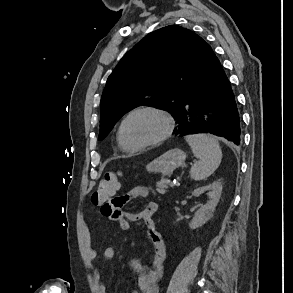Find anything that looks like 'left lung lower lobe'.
Segmentation results:
<instances>
[{"label": "left lung lower lobe", "mask_w": 293, "mask_h": 293, "mask_svg": "<svg viewBox=\"0 0 293 293\" xmlns=\"http://www.w3.org/2000/svg\"><path fill=\"white\" fill-rule=\"evenodd\" d=\"M174 133H211L240 144L241 129L230 82L218 58L213 56L205 79L182 102Z\"/></svg>", "instance_id": "obj_1"}]
</instances>
